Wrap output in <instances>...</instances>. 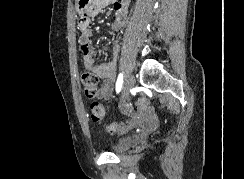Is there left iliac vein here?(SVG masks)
Here are the masks:
<instances>
[{
	"label": "left iliac vein",
	"instance_id": "left-iliac-vein-1",
	"mask_svg": "<svg viewBox=\"0 0 244 179\" xmlns=\"http://www.w3.org/2000/svg\"><path fill=\"white\" fill-rule=\"evenodd\" d=\"M135 85V79L132 74L128 75L124 81V85L122 87V97L123 100L121 102V108L125 106V103L130 99V90Z\"/></svg>",
	"mask_w": 244,
	"mask_h": 179
}]
</instances>
